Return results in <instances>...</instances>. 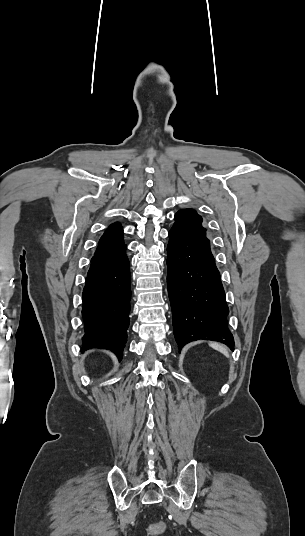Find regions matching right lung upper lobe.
Segmentation results:
<instances>
[{"mask_svg":"<svg viewBox=\"0 0 305 536\" xmlns=\"http://www.w3.org/2000/svg\"><path fill=\"white\" fill-rule=\"evenodd\" d=\"M124 245L123 230L119 223H114L105 231L100 238L95 254L105 252Z\"/></svg>","mask_w":305,"mask_h":536,"instance_id":"obj_1","label":"right lung upper lobe"}]
</instances>
